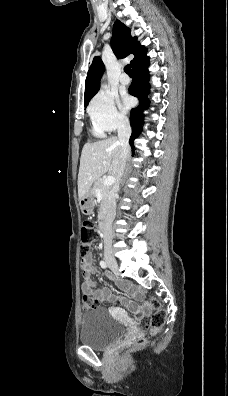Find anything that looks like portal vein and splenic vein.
Segmentation results:
<instances>
[{
    "label": "portal vein and splenic vein",
    "mask_w": 228,
    "mask_h": 396,
    "mask_svg": "<svg viewBox=\"0 0 228 396\" xmlns=\"http://www.w3.org/2000/svg\"><path fill=\"white\" fill-rule=\"evenodd\" d=\"M114 182H115V177H113V176H108V177H106V178L103 180V184H104L105 186H111V185L114 184Z\"/></svg>",
    "instance_id": "18ae733b"
}]
</instances>
